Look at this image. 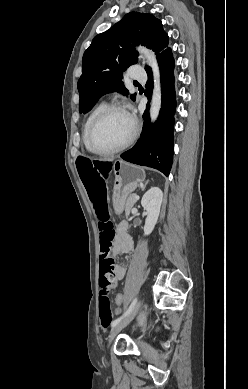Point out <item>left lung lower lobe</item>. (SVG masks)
<instances>
[{
    "label": "left lung lower lobe",
    "mask_w": 248,
    "mask_h": 389,
    "mask_svg": "<svg viewBox=\"0 0 248 389\" xmlns=\"http://www.w3.org/2000/svg\"><path fill=\"white\" fill-rule=\"evenodd\" d=\"M162 89V104L158 120L150 123L149 105L144 112V125L136 145L123 153L121 158L142 166L155 168L168 176L173 162V129L176 110L174 87V58L171 48H166L157 57ZM148 81L145 95L150 99L153 90L151 68L147 70Z\"/></svg>",
    "instance_id": "0a47b994"
}]
</instances>
